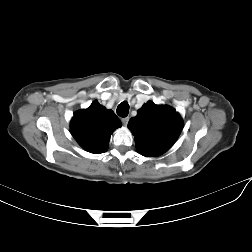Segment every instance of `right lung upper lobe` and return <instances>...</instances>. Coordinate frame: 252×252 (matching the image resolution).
<instances>
[{
    "mask_svg": "<svg viewBox=\"0 0 252 252\" xmlns=\"http://www.w3.org/2000/svg\"><path fill=\"white\" fill-rule=\"evenodd\" d=\"M121 126V121L114 112L107 110L96 100L89 108L74 113L70 130L85 150L99 154L107 150L111 134Z\"/></svg>",
    "mask_w": 252,
    "mask_h": 252,
    "instance_id": "cb5924a9",
    "label": "right lung upper lobe"
}]
</instances>
